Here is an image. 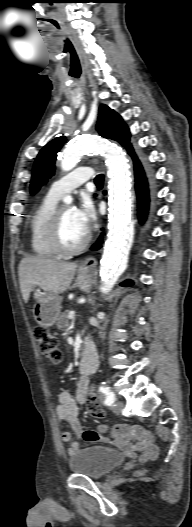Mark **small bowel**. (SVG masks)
<instances>
[{
  "label": "small bowel",
  "mask_w": 192,
  "mask_h": 527,
  "mask_svg": "<svg viewBox=\"0 0 192 527\" xmlns=\"http://www.w3.org/2000/svg\"><path fill=\"white\" fill-rule=\"evenodd\" d=\"M88 391V379L82 377L78 382L77 401L67 391L60 392L58 396L59 403L56 407L58 422L69 423L72 429V432L64 431L61 434L62 440L69 442L68 454L72 456L80 450L79 442L72 440L74 434L77 437L81 436L87 442H109L128 453L130 460H137L140 464L145 463L146 458L153 461L151 457L156 454V448L149 440V430L146 427L141 428L139 424L132 426L130 421H116L109 432H107L108 428L105 424H99L97 431H83L78 417V403L86 402ZM138 452H140V456Z\"/></svg>",
  "instance_id": "1"
}]
</instances>
